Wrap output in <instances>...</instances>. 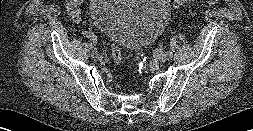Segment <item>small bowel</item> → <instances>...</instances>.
I'll use <instances>...</instances> for the list:
<instances>
[{
  "instance_id": "small-bowel-1",
  "label": "small bowel",
  "mask_w": 253,
  "mask_h": 131,
  "mask_svg": "<svg viewBox=\"0 0 253 131\" xmlns=\"http://www.w3.org/2000/svg\"><path fill=\"white\" fill-rule=\"evenodd\" d=\"M84 0H65L67 14L74 20L80 18L79 5L83 3Z\"/></svg>"
}]
</instances>
